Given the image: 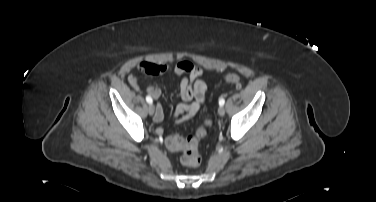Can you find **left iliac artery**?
Masks as SVG:
<instances>
[{
    "label": "left iliac artery",
    "instance_id": "44dca946",
    "mask_svg": "<svg viewBox=\"0 0 376 202\" xmlns=\"http://www.w3.org/2000/svg\"><path fill=\"white\" fill-rule=\"evenodd\" d=\"M224 103H225V99H224V98H220V99H219V105H220V106H223Z\"/></svg>",
    "mask_w": 376,
    "mask_h": 202
}]
</instances>
